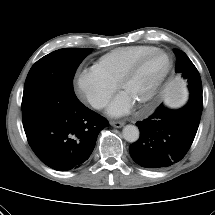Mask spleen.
<instances>
[{
	"instance_id": "1",
	"label": "spleen",
	"mask_w": 215,
	"mask_h": 215,
	"mask_svg": "<svg viewBox=\"0 0 215 215\" xmlns=\"http://www.w3.org/2000/svg\"><path fill=\"white\" fill-rule=\"evenodd\" d=\"M165 94L168 105L174 110L187 109L193 99L189 81L183 76H172L165 83Z\"/></svg>"
}]
</instances>
